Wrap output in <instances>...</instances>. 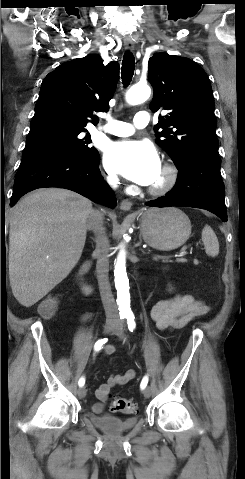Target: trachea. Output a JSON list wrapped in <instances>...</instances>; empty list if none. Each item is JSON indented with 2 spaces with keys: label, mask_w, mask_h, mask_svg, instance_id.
<instances>
[{
  "label": "trachea",
  "mask_w": 245,
  "mask_h": 479,
  "mask_svg": "<svg viewBox=\"0 0 245 479\" xmlns=\"http://www.w3.org/2000/svg\"><path fill=\"white\" fill-rule=\"evenodd\" d=\"M135 69V59L130 52H126L123 61H122V68H121V76L124 86H128L132 80L133 74Z\"/></svg>",
  "instance_id": "3493384b"
}]
</instances>
